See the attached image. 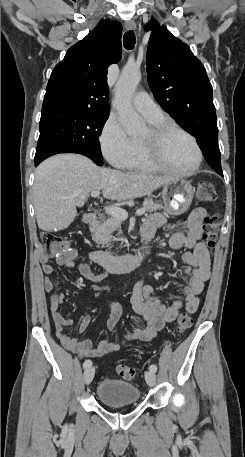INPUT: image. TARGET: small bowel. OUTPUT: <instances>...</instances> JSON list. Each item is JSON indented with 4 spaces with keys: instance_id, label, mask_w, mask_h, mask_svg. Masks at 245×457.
Instances as JSON below:
<instances>
[{
    "instance_id": "c3829d8e",
    "label": "small bowel",
    "mask_w": 245,
    "mask_h": 457,
    "mask_svg": "<svg viewBox=\"0 0 245 457\" xmlns=\"http://www.w3.org/2000/svg\"><path fill=\"white\" fill-rule=\"evenodd\" d=\"M207 212L203 207H195L189 217L182 222L183 232H176L171 235L169 244L173 249L187 248L189 251L183 254V261L186 264L184 270L186 285L183 287L184 301L176 300L169 305H164L154 294L153 287L139 280L132 292L131 303L134 311L146 321L143 329L134 328L121 339L115 341H102L94 347L91 340L79 341L76 337L68 335L65 328L72 325V320L63 316L60 306L64 301L65 295L55 292V280L53 278L52 257L41 256L42 271L44 274V289L51 293L50 311L55 325L57 336L61 344L68 350L86 357H100L120 350L128 342L150 341L166 323L175 321L180 310H185L192 314L199 307V295L201 294L205 282L210 277V256L206 246L200 242L204 229V221ZM166 225V218L161 213H153L149 216L142 228V237L146 245L154 238L156 232ZM76 252L73 250L69 255L60 254L55 257L57 264L72 268L75 266ZM79 273L87 280L100 282L106 278L105 273H94L90 266L80 263ZM77 294L74 293L75 297ZM111 313L106 323L109 330H113L121 315V306L112 301H105ZM90 323V317L84 316L78 326V331L86 330Z\"/></svg>"
}]
</instances>
